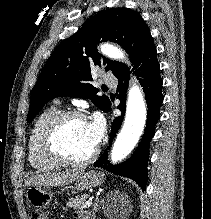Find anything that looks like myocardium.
Listing matches in <instances>:
<instances>
[{
	"label": "myocardium",
	"mask_w": 211,
	"mask_h": 219,
	"mask_svg": "<svg viewBox=\"0 0 211 219\" xmlns=\"http://www.w3.org/2000/svg\"><path fill=\"white\" fill-rule=\"evenodd\" d=\"M70 120H83L85 115L76 110L60 111L55 114L42 128L38 138L40 153L49 161L62 166L82 167L92 163L98 156L99 149L95 147L84 159L67 157L58 146V134L63 125Z\"/></svg>",
	"instance_id": "f54148a6"
}]
</instances>
